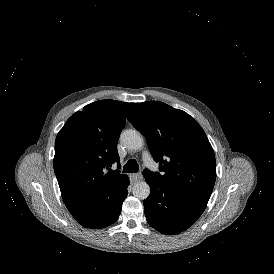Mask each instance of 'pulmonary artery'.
Here are the masks:
<instances>
[{"mask_svg": "<svg viewBox=\"0 0 274 274\" xmlns=\"http://www.w3.org/2000/svg\"><path fill=\"white\" fill-rule=\"evenodd\" d=\"M143 156H144V158H147L148 154L145 152V153L143 154Z\"/></svg>", "mask_w": 274, "mask_h": 274, "instance_id": "e3ab8cb5", "label": "pulmonary artery"}]
</instances>
